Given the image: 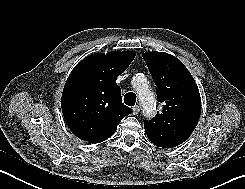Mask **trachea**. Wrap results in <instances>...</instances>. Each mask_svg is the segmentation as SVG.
<instances>
[{
	"instance_id": "obj_1",
	"label": "trachea",
	"mask_w": 245,
	"mask_h": 189,
	"mask_svg": "<svg viewBox=\"0 0 245 189\" xmlns=\"http://www.w3.org/2000/svg\"><path fill=\"white\" fill-rule=\"evenodd\" d=\"M124 102L128 106H134L136 103V95L133 92H129L124 96Z\"/></svg>"
}]
</instances>
